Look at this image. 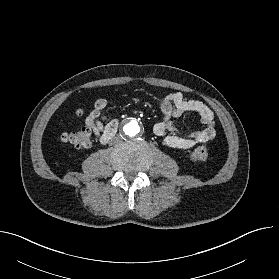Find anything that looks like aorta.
<instances>
[{"label":"aorta","mask_w":279,"mask_h":279,"mask_svg":"<svg viewBox=\"0 0 279 279\" xmlns=\"http://www.w3.org/2000/svg\"><path fill=\"white\" fill-rule=\"evenodd\" d=\"M121 132L126 138L137 137L141 133V124L137 120H127L124 122Z\"/></svg>","instance_id":"obj_1"}]
</instances>
